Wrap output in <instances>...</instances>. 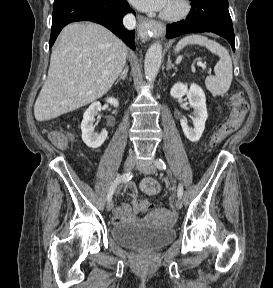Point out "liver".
<instances>
[{
	"label": "liver",
	"mask_w": 273,
	"mask_h": 288,
	"mask_svg": "<svg viewBox=\"0 0 273 288\" xmlns=\"http://www.w3.org/2000/svg\"><path fill=\"white\" fill-rule=\"evenodd\" d=\"M126 56V45L99 24L64 27L34 105L36 120L54 119L101 98L122 72Z\"/></svg>",
	"instance_id": "6515ba94"
}]
</instances>
